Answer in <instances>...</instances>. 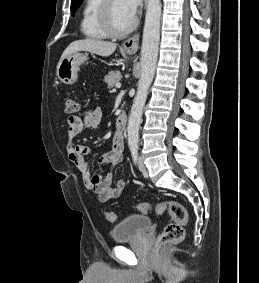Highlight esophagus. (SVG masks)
<instances>
[{"mask_svg":"<svg viewBox=\"0 0 259 283\" xmlns=\"http://www.w3.org/2000/svg\"><path fill=\"white\" fill-rule=\"evenodd\" d=\"M147 4V0H145V5ZM139 38H140V34L136 33L133 36L129 37L128 39H126L123 44H122V48L130 54H134L137 52L138 47H139Z\"/></svg>","mask_w":259,"mask_h":283,"instance_id":"1","label":"esophagus"}]
</instances>
